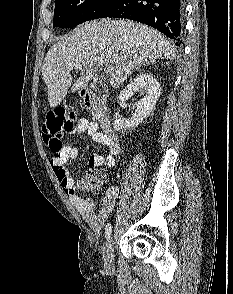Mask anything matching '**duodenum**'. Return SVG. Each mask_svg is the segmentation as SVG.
<instances>
[{"mask_svg":"<svg viewBox=\"0 0 233 294\" xmlns=\"http://www.w3.org/2000/svg\"><path fill=\"white\" fill-rule=\"evenodd\" d=\"M80 95L84 106L96 117L103 131L113 135L110 116L103 102L88 89L81 90Z\"/></svg>","mask_w":233,"mask_h":294,"instance_id":"duodenum-1","label":"duodenum"}]
</instances>
